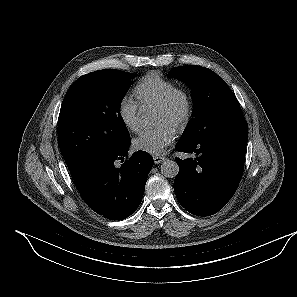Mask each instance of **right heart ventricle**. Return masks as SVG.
I'll return each instance as SVG.
<instances>
[{
    "label": "right heart ventricle",
    "mask_w": 297,
    "mask_h": 297,
    "mask_svg": "<svg viewBox=\"0 0 297 297\" xmlns=\"http://www.w3.org/2000/svg\"><path fill=\"white\" fill-rule=\"evenodd\" d=\"M175 87V84L156 74L148 73L134 87V95L141 107L157 105Z\"/></svg>",
    "instance_id": "obj_1"
}]
</instances>
